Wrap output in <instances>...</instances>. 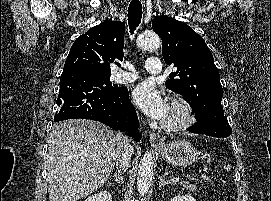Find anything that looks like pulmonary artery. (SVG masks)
Segmentation results:
<instances>
[{
	"instance_id": "pulmonary-artery-1",
	"label": "pulmonary artery",
	"mask_w": 271,
	"mask_h": 201,
	"mask_svg": "<svg viewBox=\"0 0 271 201\" xmlns=\"http://www.w3.org/2000/svg\"><path fill=\"white\" fill-rule=\"evenodd\" d=\"M124 67L128 71H119L115 76V80L120 83H129L135 81L138 78V74L135 72L134 67L129 63L125 64ZM161 67V61L157 57H150L146 63V70L151 74L160 73Z\"/></svg>"
}]
</instances>
